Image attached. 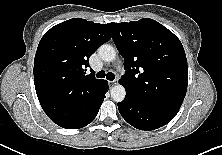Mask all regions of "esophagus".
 Returning <instances> with one entry per match:
<instances>
[{"label":"esophagus","instance_id":"esophagus-1","mask_svg":"<svg viewBox=\"0 0 222 155\" xmlns=\"http://www.w3.org/2000/svg\"><path fill=\"white\" fill-rule=\"evenodd\" d=\"M117 83V80L109 81L110 85H115Z\"/></svg>","mask_w":222,"mask_h":155}]
</instances>
